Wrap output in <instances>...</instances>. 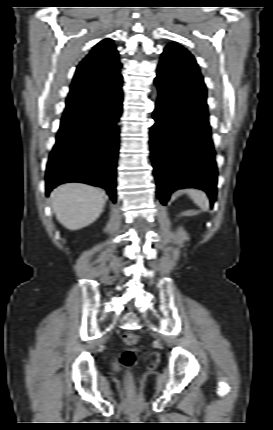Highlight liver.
I'll list each match as a JSON object with an SVG mask.
<instances>
[{"label": "liver", "mask_w": 273, "mask_h": 430, "mask_svg": "<svg viewBox=\"0 0 273 430\" xmlns=\"http://www.w3.org/2000/svg\"><path fill=\"white\" fill-rule=\"evenodd\" d=\"M104 193L92 186L68 183L51 193V203L57 220L69 230H79L92 224L103 211Z\"/></svg>", "instance_id": "obj_1"}]
</instances>
